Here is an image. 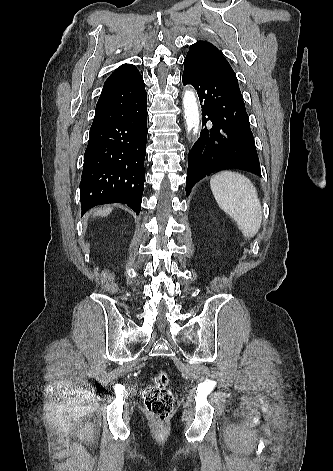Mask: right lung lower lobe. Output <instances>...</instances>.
I'll return each mask as SVG.
<instances>
[{
	"instance_id": "obj_1",
	"label": "right lung lower lobe",
	"mask_w": 333,
	"mask_h": 471,
	"mask_svg": "<svg viewBox=\"0 0 333 471\" xmlns=\"http://www.w3.org/2000/svg\"><path fill=\"white\" fill-rule=\"evenodd\" d=\"M147 132V95L139 72L123 85L103 89L84 155L82 214L118 202L139 214Z\"/></svg>"
}]
</instances>
